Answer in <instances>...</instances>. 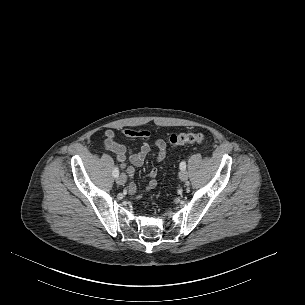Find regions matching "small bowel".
I'll return each instance as SVG.
<instances>
[{"label":"small bowel","mask_w":305,"mask_h":305,"mask_svg":"<svg viewBox=\"0 0 305 305\" xmlns=\"http://www.w3.org/2000/svg\"><path fill=\"white\" fill-rule=\"evenodd\" d=\"M122 133L127 137H137L146 139L149 138L150 132L148 130H134V129H125ZM104 145L105 147L112 151L115 154L116 159L121 163V168L126 170V173L132 179L135 174V169L127 165L129 161L133 166L140 167L144 164L147 155L149 154L151 148L147 142H142L138 149H127L124 145L120 144L116 140L115 131L108 129L104 133ZM154 146L157 149L156 161L162 162L166 158L167 154V144L163 139H157L154 142ZM158 174V169L152 167L148 172V177L150 181L146 185L144 190H138L133 181L130 182L128 188L130 194L136 198L140 199L145 192L154 189L157 185L155 180Z\"/></svg>","instance_id":"small-bowel-1"}]
</instances>
